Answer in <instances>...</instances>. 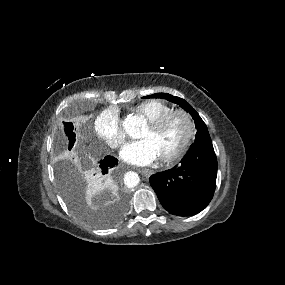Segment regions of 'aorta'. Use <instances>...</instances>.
I'll list each match as a JSON object with an SVG mask.
<instances>
[{
  "label": "aorta",
  "mask_w": 285,
  "mask_h": 285,
  "mask_svg": "<svg viewBox=\"0 0 285 285\" xmlns=\"http://www.w3.org/2000/svg\"><path fill=\"white\" fill-rule=\"evenodd\" d=\"M143 125V119L140 117H130L125 124L126 131L132 137H136L140 130V127ZM125 184L132 188L138 185L139 176L135 172H128L124 178Z\"/></svg>",
  "instance_id": "1"
}]
</instances>
